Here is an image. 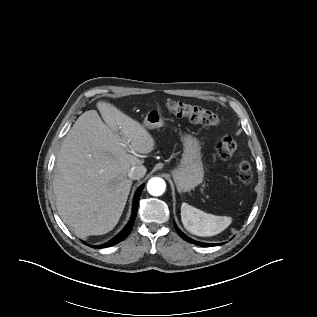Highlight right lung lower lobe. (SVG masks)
I'll use <instances>...</instances> for the list:
<instances>
[{"instance_id":"1","label":"right lung lower lobe","mask_w":317,"mask_h":317,"mask_svg":"<svg viewBox=\"0 0 317 317\" xmlns=\"http://www.w3.org/2000/svg\"><path fill=\"white\" fill-rule=\"evenodd\" d=\"M144 188V185H141L134 196V200H133V210H132V217L131 220L129 221V223L126 225V227L119 233L117 234L113 239H111L110 241H108L105 244L102 245H98V246H90L92 248H105V247H109L112 245H115L119 242H121L122 240H124L125 238L128 237V235L130 234L133 224H134V220L136 218V214H137V209H138V203H139V198L141 195V192ZM85 244V243H84Z\"/></svg>"}]
</instances>
